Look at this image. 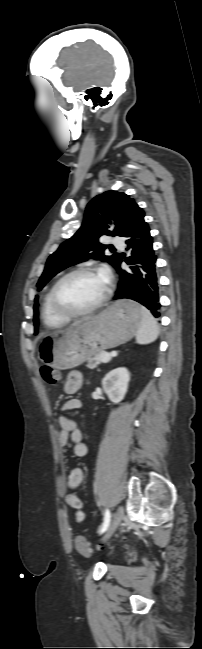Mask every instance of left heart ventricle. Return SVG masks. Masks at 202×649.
Segmentation results:
<instances>
[{
	"instance_id": "b2bd125f",
	"label": "left heart ventricle",
	"mask_w": 202,
	"mask_h": 649,
	"mask_svg": "<svg viewBox=\"0 0 202 649\" xmlns=\"http://www.w3.org/2000/svg\"><path fill=\"white\" fill-rule=\"evenodd\" d=\"M107 282L99 272L78 274L67 279L60 287V298L74 310L94 305L104 294Z\"/></svg>"
}]
</instances>
